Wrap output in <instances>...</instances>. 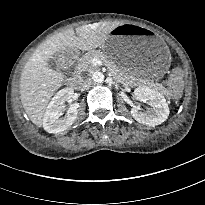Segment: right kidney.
Here are the masks:
<instances>
[{"mask_svg": "<svg viewBox=\"0 0 205 205\" xmlns=\"http://www.w3.org/2000/svg\"><path fill=\"white\" fill-rule=\"evenodd\" d=\"M73 94V89L64 88L52 98L43 117V128L45 131L48 133H61L74 123L78 114L77 106H71L67 110L65 117L60 118L65 109L64 103L71 100Z\"/></svg>", "mask_w": 205, "mask_h": 205, "instance_id": "1", "label": "right kidney"}]
</instances>
